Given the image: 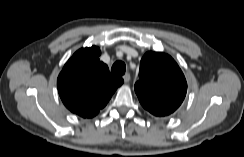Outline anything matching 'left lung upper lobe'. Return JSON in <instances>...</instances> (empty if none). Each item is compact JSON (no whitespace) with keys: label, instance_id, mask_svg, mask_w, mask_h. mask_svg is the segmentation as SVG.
I'll list each match as a JSON object with an SVG mask.
<instances>
[{"label":"left lung upper lobe","instance_id":"5c2ea615","mask_svg":"<svg viewBox=\"0 0 244 157\" xmlns=\"http://www.w3.org/2000/svg\"><path fill=\"white\" fill-rule=\"evenodd\" d=\"M135 92L147 111L155 116H167L183 102L187 83L171 56L149 51L141 59Z\"/></svg>","mask_w":244,"mask_h":157}]
</instances>
